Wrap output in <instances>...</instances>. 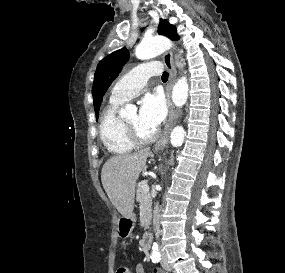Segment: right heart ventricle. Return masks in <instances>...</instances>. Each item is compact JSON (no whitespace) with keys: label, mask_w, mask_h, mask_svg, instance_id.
<instances>
[{"label":"right heart ventricle","mask_w":285,"mask_h":273,"mask_svg":"<svg viewBox=\"0 0 285 273\" xmlns=\"http://www.w3.org/2000/svg\"><path fill=\"white\" fill-rule=\"evenodd\" d=\"M123 102H111L100 117L99 136L104 147L113 154L121 155L131 152L134 144L125 134L122 120L117 115V108Z\"/></svg>","instance_id":"e07e8e85"}]
</instances>
